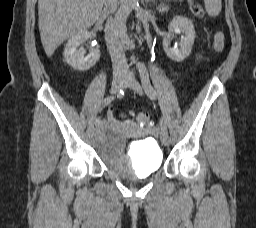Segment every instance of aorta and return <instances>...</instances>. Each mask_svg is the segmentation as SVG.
I'll list each match as a JSON object with an SVG mask.
<instances>
[{
    "label": "aorta",
    "instance_id": "762f6f07",
    "mask_svg": "<svg viewBox=\"0 0 256 228\" xmlns=\"http://www.w3.org/2000/svg\"><path fill=\"white\" fill-rule=\"evenodd\" d=\"M138 5V0H121V5L115 16L118 34L123 42L128 41L126 19L132 10Z\"/></svg>",
    "mask_w": 256,
    "mask_h": 228
}]
</instances>
